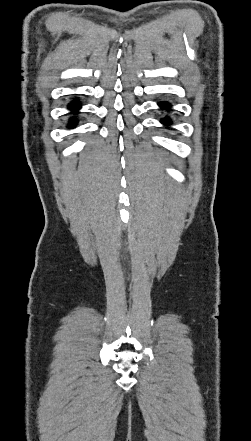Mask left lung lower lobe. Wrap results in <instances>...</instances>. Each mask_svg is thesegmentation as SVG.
I'll return each mask as SVG.
<instances>
[{"mask_svg":"<svg viewBox=\"0 0 251 441\" xmlns=\"http://www.w3.org/2000/svg\"><path fill=\"white\" fill-rule=\"evenodd\" d=\"M159 106H160L162 109H166V110H168L169 107H170V105H169L168 103H166V102H161V103H159ZM161 122H162L163 124L168 125V124L171 123V120H170L169 118H163V119L161 120Z\"/></svg>","mask_w":251,"mask_h":441,"instance_id":"obj_1","label":"left lung lower lobe"}]
</instances>
